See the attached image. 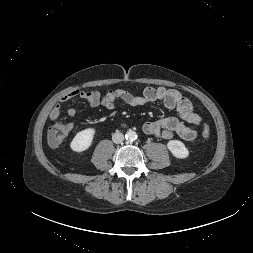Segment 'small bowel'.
Returning a JSON list of instances; mask_svg holds the SVG:
<instances>
[{"instance_id": "small-bowel-1", "label": "small bowel", "mask_w": 253, "mask_h": 253, "mask_svg": "<svg viewBox=\"0 0 253 253\" xmlns=\"http://www.w3.org/2000/svg\"><path fill=\"white\" fill-rule=\"evenodd\" d=\"M73 98H82L93 108L102 106L108 110L114 108L116 101L134 107L161 101L168 109L176 110L181 120L169 116L157 121H149L143 124V131L145 134L166 140L179 137L185 141H192L196 138L197 127L201 123V117L194 112L192 103L178 90L165 87H146L141 94H132L122 89L110 90L106 93L75 89L60 98L51 110L50 119L56 121L63 104ZM67 114L69 118H73L76 110L69 108ZM70 125L72 127V124Z\"/></svg>"}]
</instances>
